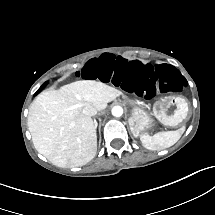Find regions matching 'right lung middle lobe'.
Segmentation results:
<instances>
[{
    "label": "right lung middle lobe",
    "instance_id": "dd1d6c3e",
    "mask_svg": "<svg viewBox=\"0 0 215 215\" xmlns=\"http://www.w3.org/2000/svg\"><path fill=\"white\" fill-rule=\"evenodd\" d=\"M45 85H46V83L43 84V85L40 87V89L37 91V93H38L42 88H44Z\"/></svg>",
    "mask_w": 215,
    "mask_h": 215
}]
</instances>
